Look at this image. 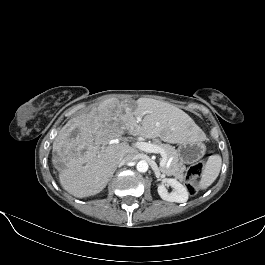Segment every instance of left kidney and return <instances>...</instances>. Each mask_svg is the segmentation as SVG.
<instances>
[{
	"mask_svg": "<svg viewBox=\"0 0 265 265\" xmlns=\"http://www.w3.org/2000/svg\"><path fill=\"white\" fill-rule=\"evenodd\" d=\"M165 185L172 187L173 191L169 193ZM158 194L163 200L176 203H184L189 197L187 188L173 178L163 179L162 184L158 186Z\"/></svg>",
	"mask_w": 265,
	"mask_h": 265,
	"instance_id": "left-kidney-1",
	"label": "left kidney"
}]
</instances>
